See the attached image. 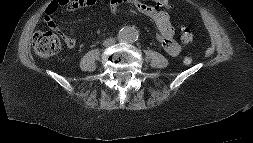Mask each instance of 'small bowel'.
Returning <instances> with one entry per match:
<instances>
[{
	"label": "small bowel",
	"instance_id": "small-bowel-1",
	"mask_svg": "<svg viewBox=\"0 0 253 143\" xmlns=\"http://www.w3.org/2000/svg\"><path fill=\"white\" fill-rule=\"evenodd\" d=\"M96 0H93L91 3L95 2ZM153 4L145 3L141 0H111L110 6L111 11L114 14H117L119 11V8L124 3H130L132 4L135 9L147 16L152 18L159 29V34L157 36L159 42L161 43L163 49L166 53H168L171 56H178L182 50L183 46L181 43L174 40V27L171 22V18L169 13L167 12L168 9L171 8V3L169 0H153ZM53 14L50 10L45 11V22L47 26L56 31L62 38L64 44L72 49L76 46V40L67 34H65L53 21Z\"/></svg>",
	"mask_w": 253,
	"mask_h": 143
}]
</instances>
